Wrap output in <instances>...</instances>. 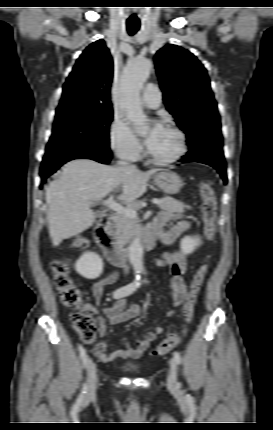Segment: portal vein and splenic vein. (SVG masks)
Instances as JSON below:
<instances>
[{"instance_id": "obj_1", "label": "portal vein and splenic vein", "mask_w": 273, "mask_h": 430, "mask_svg": "<svg viewBox=\"0 0 273 430\" xmlns=\"http://www.w3.org/2000/svg\"><path fill=\"white\" fill-rule=\"evenodd\" d=\"M152 202H153V204H160V203H162V200L158 199V198H154L152 200ZM103 203H104V205L108 206L109 208H111L112 210H114L117 213L124 214L128 217H131V218H134L137 216L136 209L123 207L121 204L115 202L113 200L112 196H110L107 200H104Z\"/></svg>"}]
</instances>
